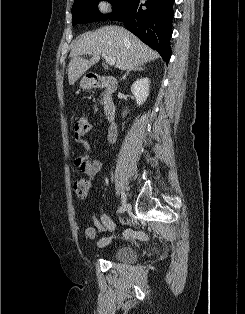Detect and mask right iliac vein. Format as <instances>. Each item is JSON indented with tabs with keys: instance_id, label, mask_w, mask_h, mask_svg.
Listing matches in <instances>:
<instances>
[{
	"instance_id": "1",
	"label": "right iliac vein",
	"mask_w": 245,
	"mask_h": 314,
	"mask_svg": "<svg viewBox=\"0 0 245 314\" xmlns=\"http://www.w3.org/2000/svg\"><path fill=\"white\" fill-rule=\"evenodd\" d=\"M127 207H128V204L125 201L120 212L123 213L127 209Z\"/></svg>"
}]
</instances>
